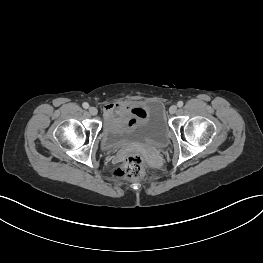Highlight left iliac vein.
Returning <instances> with one entry per match:
<instances>
[{
	"mask_svg": "<svg viewBox=\"0 0 263 263\" xmlns=\"http://www.w3.org/2000/svg\"><path fill=\"white\" fill-rule=\"evenodd\" d=\"M169 112L171 114H175L177 112V106L176 105H172L170 108H169Z\"/></svg>",
	"mask_w": 263,
	"mask_h": 263,
	"instance_id": "left-iliac-vein-1",
	"label": "left iliac vein"
}]
</instances>
